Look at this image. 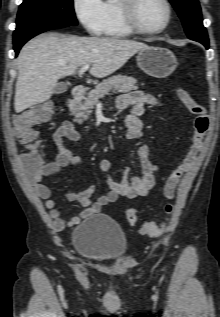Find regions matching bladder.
<instances>
[{"instance_id": "obj_1", "label": "bladder", "mask_w": 220, "mask_h": 317, "mask_svg": "<svg viewBox=\"0 0 220 317\" xmlns=\"http://www.w3.org/2000/svg\"><path fill=\"white\" fill-rule=\"evenodd\" d=\"M72 242L84 258L98 263H110L124 257L128 240L123 229L104 214H93L72 231Z\"/></svg>"}]
</instances>
